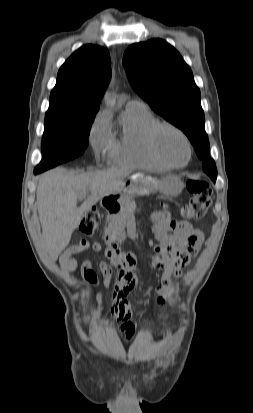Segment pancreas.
I'll return each instance as SVG.
<instances>
[{
    "label": "pancreas",
    "mask_w": 253,
    "mask_h": 413,
    "mask_svg": "<svg viewBox=\"0 0 253 413\" xmlns=\"http://www.w3.org/2000/svg\"><path fill=\"white\" fill-rule=\"evenodd\" d=\"M135 206V202L129 200L118 214L109 218V226L117 233L119 243H122L126 238V220Z\"/></svg>",
    "instance_id": "cf45deb5"
}]
</instances>
